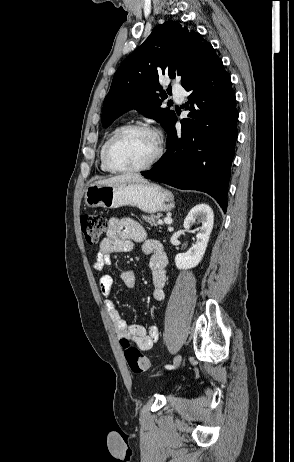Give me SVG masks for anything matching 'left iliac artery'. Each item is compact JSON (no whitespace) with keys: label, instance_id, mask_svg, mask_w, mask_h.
I'll list each match as a JSON object with an SVG mask.
<instances>
[{"label":"left iliac artery","instance_id":"obj_1","mask_svg":"<svg viewBox=\"0 0 294 462\" xmlns=\"http://www.w3.org/2000/svg\"><path fill=\"white\" fill-rule=\"evenodd\" d=\"M165 368H167V369H172V368H173V365H166Z\"/></svg>","mask_w":294,"mask_h":462}]
</instances>
